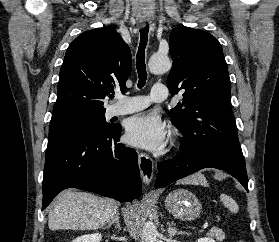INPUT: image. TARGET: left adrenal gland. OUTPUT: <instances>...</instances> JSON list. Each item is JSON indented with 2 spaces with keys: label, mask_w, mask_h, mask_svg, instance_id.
<instances>
[{
  "label": "left adrenal gland",
  "mask_w": 279,
  "mask_h": 242,
  "mask_svg": "<svg viewBox=\"0 0 279 242\" xmlns=\"http://www.w3.org/2000/svg\"><path fill=\"white\" fill-rule=\"evenodd\" d=\"M168 225V236L170 238H173L175 235L180 234H188L186 231H178L175 227H173L170 223H167Z\"/></svg>",
  "instance_id": "1"
}]
</instances>
